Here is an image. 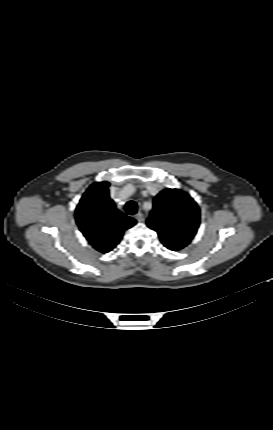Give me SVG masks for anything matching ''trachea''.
<instances>
[{
	"mask_svg": "<svg viewBox=\"0 0 273 430\" xmlns=\"http://www.w3.org/2000/svg\"><path fill=\"white\" fill-rule=\"evenodd\" d=\"M126 213L129 215H134L137 213V203L134 201H129L125 206Z\"/></svg>",
	"mask_w": 273,
	"mask_h": 430,
	"instance_id": "obj_1",
	"label": "trachea"
}]
</instances>
